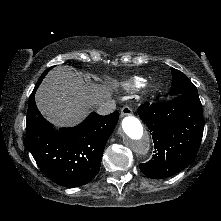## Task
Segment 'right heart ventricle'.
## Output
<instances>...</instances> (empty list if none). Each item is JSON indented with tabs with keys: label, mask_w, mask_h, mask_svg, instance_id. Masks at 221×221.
I'll return each mask as SVG.
<instances>
[{
	"label": "right heart ventricle",
	"mask_w": 221,
	"mask_h": 221,
	"mask_svg": "<svg viewBox=\"0 0 221 221\" xmlns=\"http://www.w3.org/2000/svg\"><path fill=\"white\" fill-rule=\"evenodd\" d=\"M145 80L143 78H134L132 81H131V87L133 88H139L141 86H143Z\"/></svg>",
	"instance_id": "obj_1"
}]
</instances>
